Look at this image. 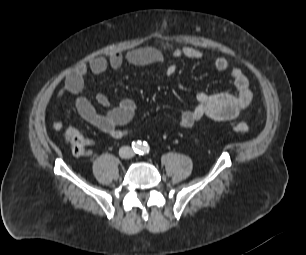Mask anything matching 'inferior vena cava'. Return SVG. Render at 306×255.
I'll return each mask as SVG.
<instances>
[{
	"instance_id": "1",
	"label": "inferior vena cava",
	"mask_w": 306,
	"mask_h": 255,
	"mask_svg": "<svg viewBox=\"0 0 306 255\" xmlns=\"http://www.w3.org/2000/svg\"><path fill=\"white\" fill-rule=\"evenodd\" d=\"M119 155L121 158H131L133 157L134 152L130 147L124 146L120 148Z\"/></svg>"
}]
</instances>
